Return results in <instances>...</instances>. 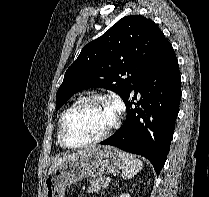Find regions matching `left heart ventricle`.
I'll use <instances>...</instances> for the list:
<instances>
[{"label":"left heart ventricle","mask_w":209,"mask_h":197,"mask_svg":"<svg viewBox=\"0 0 209 197\" xmlns=\"http://www.w3.org/2000/svg\"><path fill=\"white\" fill-rule=\"evenodd\" d=\"M114 108L102 102L89 103L71 115L66 126V135L77 144L101 135L113 122Z\"/></svg>","instance_id":"obj_1"}]
</instances>
